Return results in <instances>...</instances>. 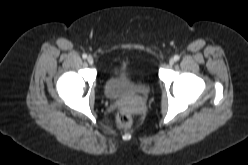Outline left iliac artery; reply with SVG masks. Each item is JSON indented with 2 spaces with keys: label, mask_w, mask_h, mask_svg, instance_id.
Segmentation results:
<instances>
[{
  "label": "left iliac artery",
  "mask_w": 248,
  "mask_h": 165,
  "mask_svg": "<svg viewBox=\"0 0 248 165\" xmlns=\"http://www.w3.org/2000/svg\"><path fill=\"white\" fill-rule=\"evenodd\" d=\"M174 59L177 61V60L180 59V57H179L178 55H175V56H174Z\"/></svg>",
  "instance_id": "44dca946"
}]
</instances>
